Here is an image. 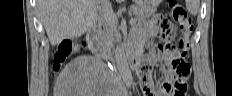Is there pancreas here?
Segmentation results:
<instances>
[{
  "label": "pancreas",
  "mask_w": 232,
  "mask_h": 96,
  "mask_svg": "<svg viewBox=\"0 0 232 96\" xmlns=\"http://www.w3.org/2000/svg\"><path fill=\"white\" fill-rule=\"evenodd\" d=\"M157 7L152 5H138L132 6L129 9V14L133 15L135 19L140 20L142 18L153 15ZM103 31L99 38V45L105 49H111L113 45L120 41L121 35L119 33V26L117 18L105 17L103 19Z\"/></svg>",
  "instance_id": "pancreas-1"
}]
</instances>
